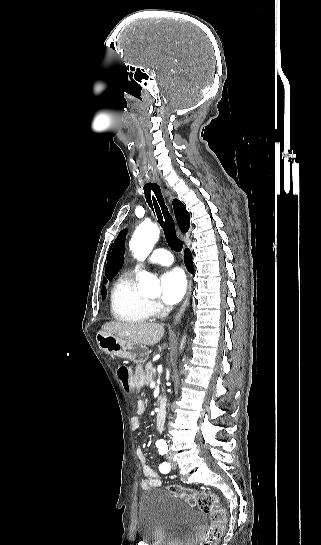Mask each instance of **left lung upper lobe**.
I'll return each mask as SVG.
<instances>
[{"instance_id":"5c2ea615","label":"left lung upper lobe","mask_w":321,"mask_h":545,"mask_svg":"<svg viewBox=\"0 0 321 545\" xmlns=\"http://www.w3.org/2000/svg\"><path fill=\"white\" fill-rule=\"evenodd\" d=\"M125 235V231H121L114 243L113 251L105 270L106 276L109 279H112L117 274L123 263Z\"/></svg>"}]
</instances>
